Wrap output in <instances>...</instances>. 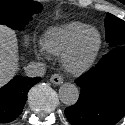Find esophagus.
Listing matches in <instances>:
<instances>
[{"label":"esophagus","instance_id":"34e87169","mask_svg":"<svg viewBox=\"0 0 125 125\" xmlns=\"http://www.w3.org/2000/svg\"><path fill=\"white\" fill-rule=\"evenodd\" d=\"M50 81L55 85H60L63 83V77L56 73L51 76Z\"/></svg>","mask_w":125,"mask_h":125}]
</instances>
